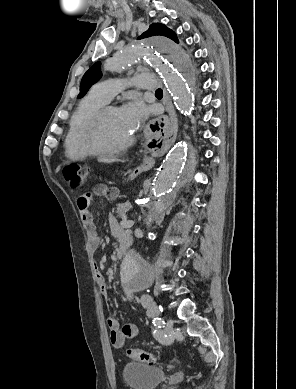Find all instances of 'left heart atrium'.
Returning <instances> with one entry per match:
<instances>
[{"label": "left heart atrium", "mask_w": 296, "mask_h": 389, "mask_svg": "<svg viewBox=\"0 0 296 389\" xmlns=\"http://www.w3.org/2000/svg\"><path fill=\"white\" fill-rule=\"evenodd\" d=\"M120 114L130 130L134 133L147 116V108L139 99H133L126 103L120 110Z\"/></svg>", "instance_id": "1"}]
</instances>
